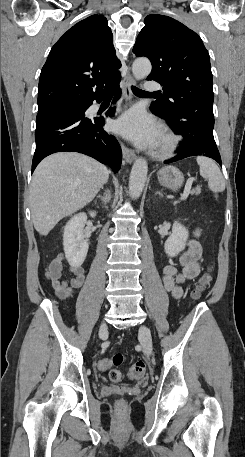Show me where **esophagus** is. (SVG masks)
Returning a JSON list of instances; mask_svg holds the SVG:
<instances>
[{"mask_svg":"<svg viewBox=\"0 0 245 457\" xmlns=\"http://www.w3.org/2000/svg\"><path fill=\"white\" fill-rule=\"evenodd\" d=\"M135 83H136L135 78L131 75L130 72H128V74L126 75V77L122 83V94H123V97L125 100L132 99L131 86L135 85ZM121 148H122L123 158L125 159V161L128 163H132L136 158L135 152H133V150H131L130 148H127L123 144H121Z\"/></svg>","mask_w":245,"mask_h":457,"instance_id":"obj_1","label":"esophagus"}]
</instances>
